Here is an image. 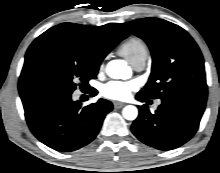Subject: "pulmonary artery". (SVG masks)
<instances>
[{
	"mask_svg": "<svg viewBox=\"0 0 220 173\" xmlns=\"http://www.w3.org/2000/svg\"><path fill=\"white\" fill-rule=\"evenodd\" d=\"M146 60H147V57H139V58L135 59L131 63V65L136 71H141L144 69V67L146 65ZM159 105H160V101H158L155 106L157 107Z\"/></svg>",
	"mask_w": 220,
	"mask_h": 173,
	"instance_id": "1",
	"label": "pulmonary artery"
}]
</instances>
